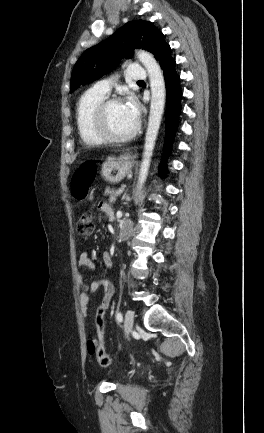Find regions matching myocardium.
<instances>
[{"mask_svg": "<svg viewBox=\"0 0 264 433\" xmlns=\"http://www.w3.org/2000/svg\"><path fill=\"white\" fill-rule=\"evenodd\" d=\"M122 103L120 98L112 97L103 100L94 110L92 116V127L95 133L104 141L110 143H123L134 138L140 130V122L137 121L136 125L128 133L124 135L113 134L107 125V111L110 106Z\"/></svg>", "mask_w": 264, "mask_h": 433, "instance_id": "obj_1", "label": "myocardium"}]
</instances>
